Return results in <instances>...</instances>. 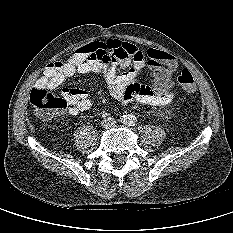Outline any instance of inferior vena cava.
<instances>
[{
  "instance_id": "obj_1",
  "label": "inferior vena cava",
  "mask_w": 233,
  "mask_h": 233,
  "mask_svg": "<svg viewBox=\"0 0 233 233\" xmlns=\"http://www.w3.org/2000/svg\"><path fill=\"white\" fill-rule=\"evenodd\" d=\"M113 123H114V119L111 118V117H109V118H107V119H104V120L102 121V125H103V127H105V128L111 127V125H112Z\"/></svg>"
}]
</instances>
